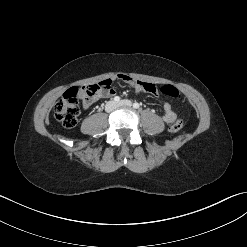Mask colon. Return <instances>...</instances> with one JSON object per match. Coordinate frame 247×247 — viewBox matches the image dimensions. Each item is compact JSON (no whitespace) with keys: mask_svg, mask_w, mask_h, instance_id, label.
<instances>
[{"mask_svg":"<svg viewBox=\"0 0 247 247\" xmlns=\"http://www.w3.org/2000/svg\"><path fill=\"white\" fill-rule=\"evenodd\" d=\"M112 86V81L106 79L95 84L88 85L83 89L71 88L67 90L61 99L56 103L54 107L55 118L66 128H72L76 125L80 108L78 97L81 93L89 101H95L105 91ZM161 92L171 98L178 99L181 97L180 92L177 88L172 85H164L161 87ZM183 128L181 120L175 121L170 130L174 133L179 132Z\"/></svg>","mask_w":247,"mask_h":247,"instance_id":"1","label":"colon"}]
</instances>
